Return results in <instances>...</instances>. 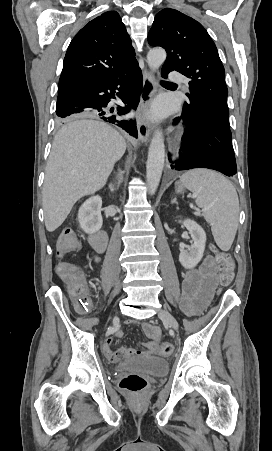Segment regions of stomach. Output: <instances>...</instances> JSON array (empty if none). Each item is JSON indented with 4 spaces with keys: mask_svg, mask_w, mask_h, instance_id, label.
Listing matches in <instances>:
<instances>
[{
    "mask_svg": "<svg viewBox=\"0 0 272 451\" xmlns=\"http://www.w3.org/2000/svg\"><path fill=\"white\" fill-rule=\"evenodd\" d=\"M175 190H176L177 194H182V192H184V188H183L181 182H176Z\"/></svg>",
    "mask_w": 272,
    "mask_h": 451,
    "instance_id": "obj_1",
    "label": "stomach"
}]
</instances>
